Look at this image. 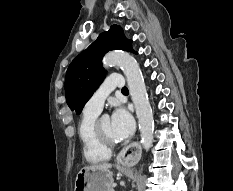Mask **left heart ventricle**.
<instances>
[{
    "instance_id": "left-heart-ventricle-1",
    "label": "left heart ventricle",
    "mask_w": 233,
    "mask_h": 191,
    "mask_svg": "<svg viewBox=\"0 0 233 191\" xmlns=\"http://www.w3.org/2000/svg\"><path fill=\"white\" fill-rule=\"evenodd\" d=\"M100 128L101 130L103 131V133L110 137V138H113V135H112V129H111V121L109 119H103L100 121Z\"/></svg>"
}]
</instances>
